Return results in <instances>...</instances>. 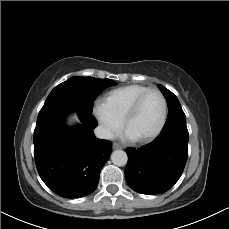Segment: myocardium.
Wrapping results in <instances>:
<instances>
[{
    "label": "myocardium",
    "mask_w": 229,
    "mask_h": 229,
    "mask_svg": "<svg viewBox=\"0 0 229 229\" xmlns=\"http://www.w3.org/2000/svg\"><path fill=\"white\" fill-rule=\"evenodd\" d=\"M151 93H157L162 100V104H163V113H162V118H161V122L159 124V126L150 134L144 136V137H140V138H131L128 137L126 135V128L127 125L129 124L130 120L133 118V116L135 115L136 111L138 110L141 102L143 101V99L151 94ZM167 117H168V103H167V99L164 96V94L155 88H151L145 92H143L142 94H140L138 97H136L134 99V101L130 104V106L128 107L123 119H122V134L132 143H148L153 141L154 139H156L163 131L166 122H167Z\"/></svg>",
    "instance_id": "myocardium-1"
}]
</instances>
